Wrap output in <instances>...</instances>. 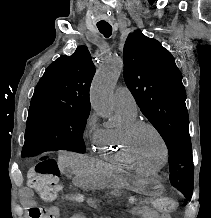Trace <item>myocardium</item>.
<instances>
[{"label":"myocardium","instance_id":"1","mask_svg":"<svg viewBox=\"0 0 211 218\" xmlns=\"http://www.w3.org/2000/svg\"><path fill=\"white\" fill-rule=\"evenodd\" d=\"M146 127L152 130L155 135L158 137L162 150H163V159L160 163V165H163L166 162L167 155H168V150H167V145L164 140V137L162 133L159 131V129L152 124L151 122L144 121V120H135L131 124H129L125 131H124V146L125 149L130 157L131 162H134L139 165H143V163L135 156V148H134V138L137 133V131L142 128Z\"/></svg>","mask_w":211,"mask_h":218}]
</instances>
